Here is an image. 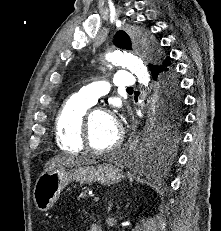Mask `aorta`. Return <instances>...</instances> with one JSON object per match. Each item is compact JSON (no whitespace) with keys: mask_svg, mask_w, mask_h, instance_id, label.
Wrapping results in <instances>:
<instances>
[{"mask_svg":"<svg viewBox=\"0 0 221 231\" xmlns=\"http://www.w3.org/2000/svg\"><path fill=\"white\" fill-rule=\"evenodd\" d=\"M106 59L113 64L128 68L138 78L142 85L148 86L150 74L139 57L125 50L116 49L107 53Z\"/></svg>","mask_w":221,"mask_h":231,"instance_id":"1","label":"aorta"}]
</instances>
